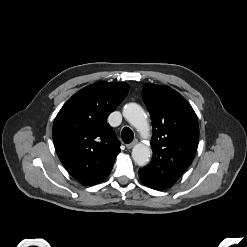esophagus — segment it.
Masks as SVG:
<instances>
[{"mask_svg":"<svg viewBox=\"0 0 247 247\" xmlns=\"http://www.w3.org/2000/svg\"><path fill=\"white\" fill-rule=\"evenodd\" d=\"M137 143H138V140L135 139V140H133V142L127 144V145H126V148H127V149H131V148H133Z\"/></svg>","mask_w":247,"mask_h":247,"instance_id":"obj_1","label":"esophagus"}]
</instances>
